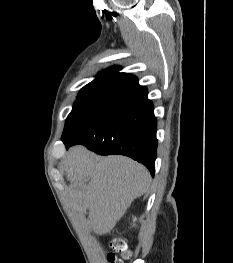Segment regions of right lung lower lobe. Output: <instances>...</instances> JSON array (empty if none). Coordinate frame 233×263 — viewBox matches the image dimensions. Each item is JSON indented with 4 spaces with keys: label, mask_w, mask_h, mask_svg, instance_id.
Segmentation results:
<instances>
[{
    "label": "right lung lower lobe",
    "mask_w": 233,
    "mask_h": 263,
    "mask_svg": "<svg viewBox=\"0 0 233 263\" xmlns=\"http://www.w3.org/2000/svg\"><path fill=\"white\" fill-rule=\"evenodd\" d=\"M147 94L145 86H138L118 96L92 127L76 139L63 141L66 148L83 144L100 155H126L144 164L153 176L157 120Z\"/></svg>",
    "instance_id": "1"
}]
</instances>
